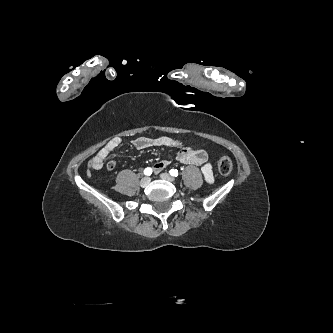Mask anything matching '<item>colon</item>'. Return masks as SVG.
<instances>
[{"label":"colon","instance_id":"1","mask_svg":"<svg viewBox=\"0 0 333 333\" xmlns=\"http://www.w3.org/2000/svg\"><path fill=\"white\" fill-rule=\"evenodd\" d=\"M232 161L227 156H221L218 160V170L222 176H229L232 172Z\"/></svg>","mask_w":333,"mask_h":333}]
</instances>
